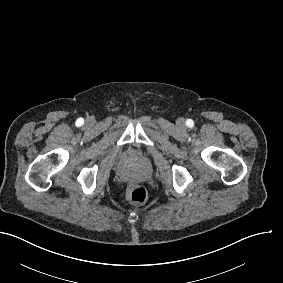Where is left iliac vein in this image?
Here are the masks:
<instances>
[{
  "label": "left iliac vein",
  "mask_w": 283,
  "mask_h": 283,
  "mask_svg": "<svg viewBox=\"0 0 283 283\" xmlns=\"http://www.w3.org/2000/svg\"><path fill=\"white\" fill-rule=\"evenodd\" d=\"M178 124L179 126H182V124H184L183 120H180Z\"/></svg>",
  "instance_id": "4c4485c4"
}]
</instances>
